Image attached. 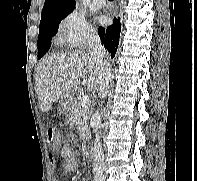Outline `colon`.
<instances>
[{
	"instance_id": "obj_1",
	"label": "colon",
	"mask_w": 197,
	"mask_h": 181,
	"mask_svg": "<svg viewBox=\"0 0 197 181\" xmlns=\"http://www.w3.org/2000/svg\"><path fill=\"white\" fill-rule=\"evenodd\" d=\"M47 143L52 150L58 151L60 146L62 145V139L58 135L56 129L54 127H49L46 132Z\"/></svg>"
}]
</instances>
